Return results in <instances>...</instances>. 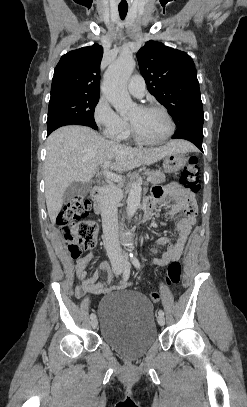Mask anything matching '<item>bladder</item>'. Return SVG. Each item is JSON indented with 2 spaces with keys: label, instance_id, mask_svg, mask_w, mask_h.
Instances as JSON below:
<instances>
[{
  "label": "bladder",
  "instance_id": "obj_1",
  "mask_svg": "<svg viewBox=\"0 0 247 407\" xmlns=\"http://www.w3.org/2000/svg\"><path fill=\"white\" fill-rule=\"evenodd\" d=\"M97 317L102 340L127 360L140 359L158 340L153 306L140 293L122 290L106 296Z\"/></svg>",
  "mask_w": 247,
  "mask_h": 407
}]
</instances>
